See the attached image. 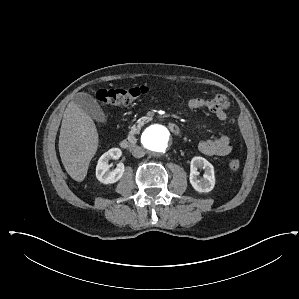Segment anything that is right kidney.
I'll use <instances>...</instances> for the list:
<instances>
[{
  "instance_id": "1",
  "label": "right kidney",
  "mask_w": 299,
  "mask_h": 299,
  "mask_svg": "<svg viewBox=\"0 0 299 299\" xmlns=\"http://www.w3.org/2000/svg\"><path fill=\"white\" fill-rule=\"evenodd\" d=\"M121 155L122 152L119 148H112L99 158L96 166V177L101 183L112 184L117 182L123 176L125 171L123 163H119L113 170H110L109 165L110 159H118Z\"/></svg>"
}]
</instances>
